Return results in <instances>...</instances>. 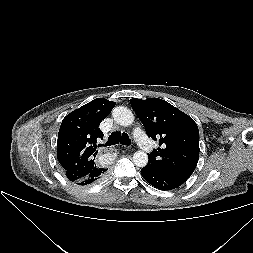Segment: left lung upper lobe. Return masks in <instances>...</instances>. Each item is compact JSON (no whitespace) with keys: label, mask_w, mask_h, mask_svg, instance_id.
I'll list each match as a JSON object with an SVG mask.
<instances>
[{"label":"left lung upper lobe","mask_w":253,"mask_h":253,"mask_svg":"<svg viewBox=\"0 0 253 253\" xmlns=\"http://www.w3.org/2000/svg\"><path fill=\"white\" fill-rule=\"evenodd\" d=\"M146 133L161 148L148 154V165L184 183L199 158V131L195 121L170 103L159 99H130Z\"/></svg>","instance_id":"obj_1"}]
</instances>
